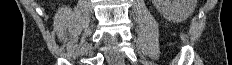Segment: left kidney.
Segmentation results:
<instances>
[{
    "mask_svg": "<svg viewBox=\"0 0 232 65\" xmlns=\"http://www.w3.org/2000/svg\"><path fill=\"white\" fill-rule=\"evenodd\" d=\"M156 9L172 22L187 20L194 12L196 0H152Z\"/></svg>",
    "mask_w": 232,
    "mask_h": 65,
    "instance_id": "left-kidney-1",
    "label": "left kidney"
}]
</instances>
